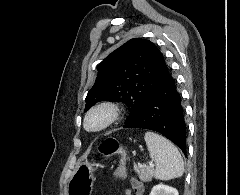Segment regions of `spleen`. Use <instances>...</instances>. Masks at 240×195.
Here are the masks:
<instances>
[{"mask_svg": "<svg viewBox=\"0 0 240 195\" xmlns=\"http://www.w3.org/2000/svg\"><path fill=\"white\" fill-rule=\"evenodd\" d=\"M144 139L149 155L156 163L155 175L158 179H173L183 175V157L170 139L154 131H146Z\"/></svg>", "mask_w": 240, "mask_h": 195, "instance_id": "3e777b00", "label": "spleen"}]
</instances>
